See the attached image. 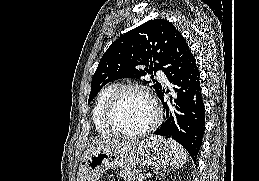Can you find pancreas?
<instances>
[{
  "instance_id": "obj_1",
  "label": "pancreas",
  "mask_w": 259,
  "mask_h": 181,
  "mask_svg": "<svg viewBox=\"0 0 259 181\" xmlns=\"http://www.w3.org/2000/svg\"><path fill=\"white\" fill-rule=\"evenodd\" d=\"M139 174V170H122L118 175L123 181H135Z\"/></svg>"
}]
</instances>
